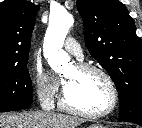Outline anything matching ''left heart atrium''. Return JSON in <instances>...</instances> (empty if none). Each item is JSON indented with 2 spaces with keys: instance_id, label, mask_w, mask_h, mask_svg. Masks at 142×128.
Returning a JSON list of instances; mask_svg holds the SVG:
<instances>
[{
  "instance_id": "obj_1",
  "label": "left heart atrium",
  "mask_w": 142,
  "mask_h": 128,
  "mask_svg": "<svg viewBox=\"0 0 142 128\" xmlns=\"http://www.w3.org/2000/svg\"><path fill=\"white\" fill-rule=\"evenodd\" d=\"M63 83H64V86H65L67 84V81L64 79Z\"/></svg>"
}]
</instances>
